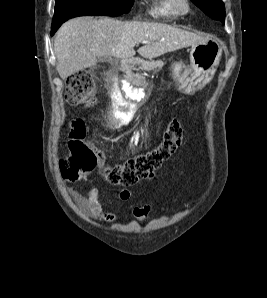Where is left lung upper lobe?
<instances>
[{
	"label": "left lung upper lobe",
	"mask_w": 267,
	"mask_h": 298,
	"mask_svg": "<svg viewBox=\"0 0 267 298\" xmlns=\"http://www.w3.org/2000/svg\"><path fill=\"white\" fill-rule=\"evenodd\" d=\"M205 14L224 23L225 6L222 0H191Z\"/></svg>",
	"instance_id": "left-lung-upper-lobe-1"
}]
</instances>
